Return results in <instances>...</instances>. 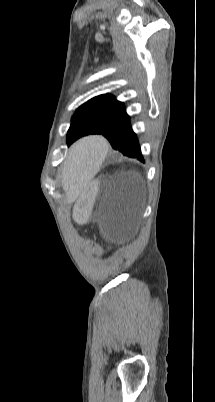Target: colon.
Listing matches in <instances>:
<instances>
[{
	"mask_svg": "<svg viewBox=\"0 0 215 402\" xmlns=\"http://www.w3.org/2000/svg\"><path fill=\"white\" fill-rule=\"evenodd\" d=\"M75 241L80 242L81 238L76 237ZM81 243L84 245L82 247H84L87 250H92L94 248V245L92 243H88L87 240H83ZM89 257H90L91 260H100V259H102L103 254L100 251H91L90 254H89Z\"/></svg>",
	"mask_w": 215,
	"mask_h": 402,
	"instance_id": "1",
	"label": "colon"
}]
</instances>
